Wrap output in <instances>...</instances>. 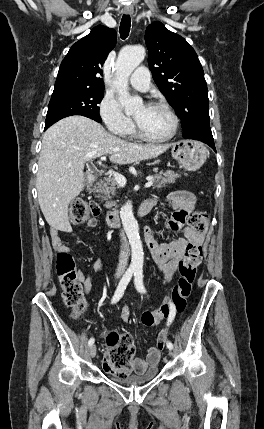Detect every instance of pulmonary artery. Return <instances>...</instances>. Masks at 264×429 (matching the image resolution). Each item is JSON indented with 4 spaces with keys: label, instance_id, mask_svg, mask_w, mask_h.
<instances>
[{
    "label": "pulmonary artery",
    "instance_id": "e3ab8cb5",
    "mask_svg": "<svg viewBox=\"0 0 264 429\" xmlns=\"http://www.w3.org/2000/svg\"><path fill=\"white\" fill-rule=\"evenodd\" d=\"M129 82L135 89L139 91H147L150 88V73L144 67H138L130 76Z\"/></svg>",
    "mask_w": 264,
    "mask_h": 429
}]
</instances>
